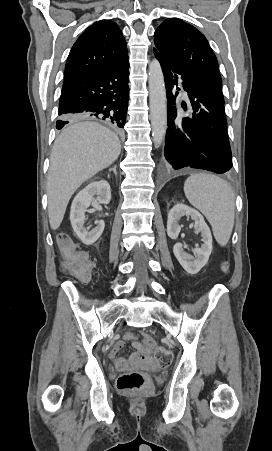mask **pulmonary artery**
<instances>
[{
  "instance_id": "1",
  "label": "pulmonary artery",
  "mask_w": 272,
  "mask_h": 451,
  "mask_svg": "<svg viewBox=\"0 0 272 451\" xmlns=\"http://www.w3.org/2000/svg\"><path fill=\"white\" fill-rule=\"evenodd\" d=\"M183 93L186 95L188 92L185 90ZM185 97L188 99L190 96L187 94Z\"/></svg>"
}]
</instances>
